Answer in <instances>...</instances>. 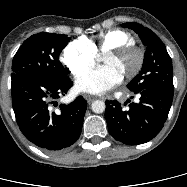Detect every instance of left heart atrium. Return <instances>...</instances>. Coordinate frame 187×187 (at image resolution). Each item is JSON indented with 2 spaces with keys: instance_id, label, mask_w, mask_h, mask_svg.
<instances>
[{
  "instance_id": "39dd6f15",
  "label": "left heart atrium",
  "mask_w": 187,
  "mask_h": 187,
  "mask_svg": "<svg viewBox=\"0 0 187 187\" xmlns=\"http://www.w3.org/2000/svg\"><path fill=\"white\" fill-rule=\"evenodd\" d=\"M122 76L112 67L104 66L86 73L76 81L79 92L100 95L115 87Z\"/></svg>"
}]
</instances>
